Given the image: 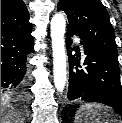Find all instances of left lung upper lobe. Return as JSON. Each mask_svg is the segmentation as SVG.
I'll return each mask as SVG.
<instances>
[{
	"instance_id": "obj_1",
	"label": "left lung upper lobe",
	"mask_w": 122,
	"mask_h": 123,
	"mask_svg": "<svg viewBox=\"0 0 122 123\" xmlns=\"http://www.w3.org/2000/svg\"><path fill=\"white\" fill-rule=\"evenodd\" d=\"M57 9L68 16L67 30L84 42L118 54L110 17L100 0H60Z\"/></svg>"
}]
</instances>
